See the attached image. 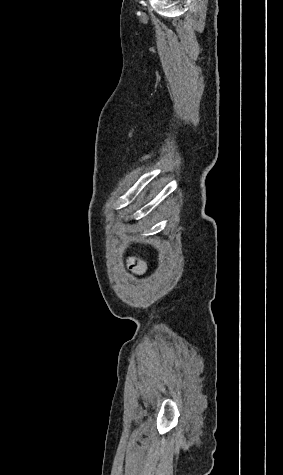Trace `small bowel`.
Wrapping results in <instances>:
<instances>
[{
  "instance_id": "1",
  "label": "small bowel",
  "mask_w": 283,
  "mask_h": 475,
  "mask_svg": "<svg viewBox=\"0 0 283 475\" xmlns=\"http://www.w3.org/2000/svg\"><path fill=\"white\" fill-rule=\"evenodd\" d=\"M128 265L130 270L136 275L141 276L146 272V263L139 258H129Z\"/></svg>"
}]
</instances>
